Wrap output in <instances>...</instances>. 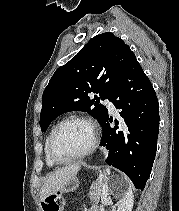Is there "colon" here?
<instances>
[{
	"label": "colon",
	"instance_id": "1",
	"mask_svg": "<svg viewBox=\"0 0 179 211\" xmlns=\"http://www.w3.org/2000/svg\"><path fill=\"white\" fill-rule=\"evenodd\" d=\"M64 200L60 194L48 196L42 202L43 211H62Z\"/></svg>",
	"mask_w": 179,
	"mask_h": 211
}]
</instances>
